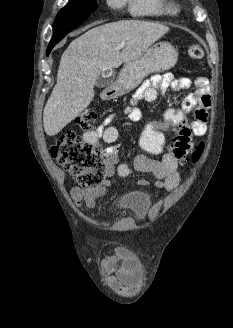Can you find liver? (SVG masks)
Returning <instances> with one entry per match:
<instances>
[{
  "label": "liver",
  "mask_w": 233,
  "mask_h": 328,
  "mask_svg": "<svg viewBox=\"0 0 233 328\" xmlns=\"http://www.w3.org/2000/svg\"><path fill=\"white\" fill-rule=\"evenodd\" d=\"M168 31L158 23L122 20L92 28L72 41L61 56L57 83L44 107L46 134H58L89 106L102 70L140 58Z\"/></svg>",
  "instance_id": "1"
}]
</instances>
